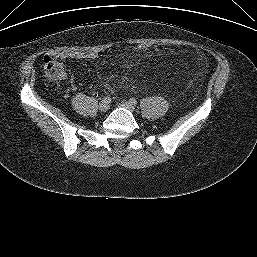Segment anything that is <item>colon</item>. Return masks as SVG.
<instances>
[{"label": "colon", "mask_w": 257, "mask_h": 257, "mask_svg": "<svg viewBox=\"0 0 257 257\" xmlns=\"http://www.w3.org/2000/svg\"><path fill=\"white\" fill-rule=\"evenodd\" d=\"M136 49L139 52H146L151 49V45L148 43H139L136 45ZM44 68L46 75L53 80H60L65 76L63 66L55 60L46 58L44 59Z\"/></svg>", "instance_id": "colon-1"}]
</instances>
